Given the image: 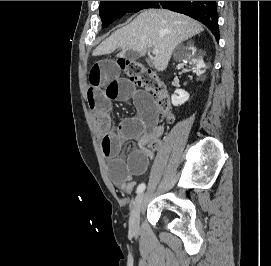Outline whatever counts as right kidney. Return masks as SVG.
<instances>
[{"instance_id":"obj_1","label":"right kidney","mask_w":271,"mask_h":266,"mask_svg":"<svg viewBox=\"0 0 271 266\" xmlns=\"http://www.w3.org/2000/svg\"><path fill=\"white\" fill-rule=\"evenodd\" d=\"M184 60L190 61L195 65L196 74L198 76L205 72V63L198 54H196V49L193 45L186 47L184 54ZM189 99V94L184 90H176L175 94L171 96V102L174 106H181Z\"/></svg>"}]
</instances>
